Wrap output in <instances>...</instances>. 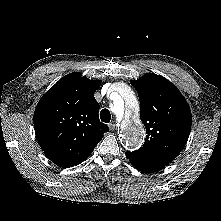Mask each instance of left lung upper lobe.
Returning a JSON list of instances; mask_svg holds the SVG:
<instances>
[{"instance_id":"5c2ea615","label":"left lung upper lobe","mask_w":221,"mask_h":221,"mask_svg":"<svg viewBox=\"0 0 221 221\" xmlns=\"http://www.w3.org/2000/svg\"><path fill=\"white\" fill-rule=\"evenodd\" d=\"M131 85L140 100V118L146 128L144 145L129 152L141 159L168 165L185 146L191 129L189 105L166 78L147 73Z\"/></svg>"}]
</instances>
